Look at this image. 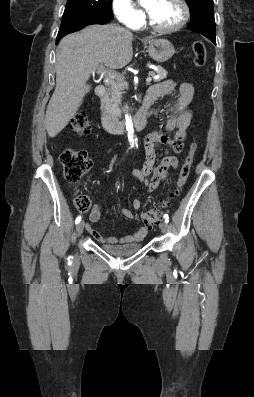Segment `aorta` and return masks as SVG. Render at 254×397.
Returning <instances> with one entry per match:
<instances>
[{
    "mask_svg": "<svg viewBox=\"0 0 254 397\" xmlns=\"http://www.w3.org/2000/svg\"><path fill=\"white\" fill-rule=\"evenodd\" d=\"M144 1V0H141ZM126 120V130L128 131V140L133 145L134 144V129L131 117L128 115L125 116Z\"/></svg>",
    "mask_w": 254,
    "mask_h": 397,
    "instance_id": "1",
    "label": "aorta"
}]
</instances>
